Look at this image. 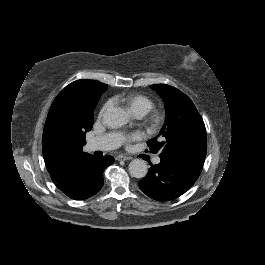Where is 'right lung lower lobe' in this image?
I'll return each instance as SVG.
<instances>
[{"label": "right lung lower lobe", "instance_id": "obj_1", "mask_svg": "<svg viewBox=\"0 0 265 265\" xmlns=\"http://www.w3.org/2000/svg\"><path fill=\"white\" fill-rule=\"evenodd\" d=\"M114 162L106 155L102 158L88 156L78 163L70 174L56 186L74 200H84L96 194L103 186V171Z\"/></svg>", "mask_w": 265, "mask_h": 265}]
</instances>
